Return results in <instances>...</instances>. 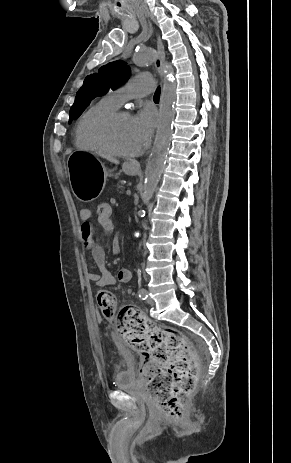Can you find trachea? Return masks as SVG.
Segmentation results:
<instances>
[{"label": "trachea", "instance_id": "obj_1", "mask_svg": "<svg viewBox=\"0 0 291 463\" xmlns=\"http://www.w3.org/2000/svg\"><path fill=\"white\" fill-rule=\"evenodd\" d=\"M159 98H160V88H158L157 91L155 92L154 100H159Z\"/></svg>", "mask_w": 291, "mask_h": 463}]
</instances>
